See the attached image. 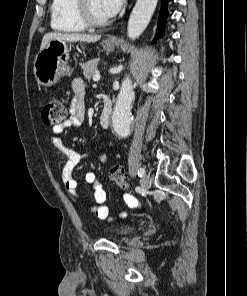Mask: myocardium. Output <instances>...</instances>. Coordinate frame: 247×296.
<instances>
[{
	"label": "myocardium",
	"instance_id": "f54148a6",
	"mask_svg": "<svg viewBox=\"0 0 247 296\" xmlns=\"http://www.w3.org/2000/svg\"><path fill=\"white\" fill-rule=\"evenodd\" d=\"M88 0H76L75 3V15L78 21L85 27L99 28L105 27L109 24V19L106 20H95L90 16L88 6Z\"/></svg>",
	"mask_w": 247,
	"mask_h": 296
}]
</instances>
